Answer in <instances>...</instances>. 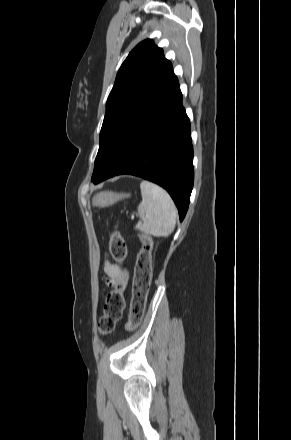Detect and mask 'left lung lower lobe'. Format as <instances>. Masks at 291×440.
<instances>
[{
    "mask_svg": "<svg viewBox=\"0 0 291 440\" xmlns=\"http://www.w3.org/2000/svg\"><path fill=\"white\" fill-rule=\"evenodd\" d=\"M121 174L165 188L178 208L180 221L184 219L194 181L193 148L176 76L127 128L91 181L97 184Z\"/></svg>",
    "mask_w": 291,
    "mask_h": 440,
    "instance_id": "1",
    "label": "left lung lower lobe"
}]
</instances>
